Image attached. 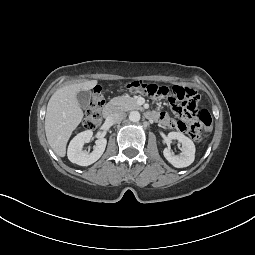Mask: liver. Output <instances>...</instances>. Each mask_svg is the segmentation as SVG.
<instances>
[{
  "label": "liver",
  "mask_w": 255,
  "mask_h": 255,
  "mask_svg": "<svg viewBox=\"0 0 255 255\" xmlns=\"http://www.w3.org/2000/svg\"><path fill=\"white\" fill-rule=\"evenodd\" d=\"M96 84V80H85L65 85L51 96L45 116V133L49 145L58 156H65L67 142L83 119L77 93L88 91Z\"/></svg>",
  "instance_id": "obj_1"
}]
</instances>
